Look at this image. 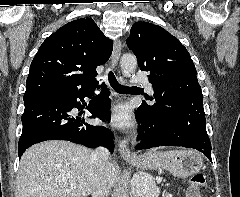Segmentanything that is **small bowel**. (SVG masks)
<instances>
[{"mask_svg": "<svg viewBox=\"0 0 240 197\" xmlns=\"http://www.w3.org/2000/svg\"><path fill=\"white\" fill-rule=\"evenodd\" d=\"M187 197H199L198 191L194 187H190L187 191Z\"/></svg>", "mask_w": 240, "mask_h": 197, "instance_id": "obj_1", "label": "small bowel"}]
</instances>
